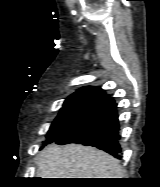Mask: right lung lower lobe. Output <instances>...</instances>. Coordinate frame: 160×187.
Instances as JSON below:
<instances>
[{
	"label": "right lung lower lobe",
	"instance_id": "98d812e1",
	"mask_svg": "<svg viewBox=\"0 0 160 187\" xmlns=\"http://www.w3.org/2000/svg\"><path fill=\"white\" fill-rule=\"evenodd\" d=\"M113 98L99 104L93 114L69 134L55 141L57 144L78 143L97 147L121 158L119 122Z\"/></svg>",
	"mask_w": 160,
	"mask_h": 187
}]
</instances>
